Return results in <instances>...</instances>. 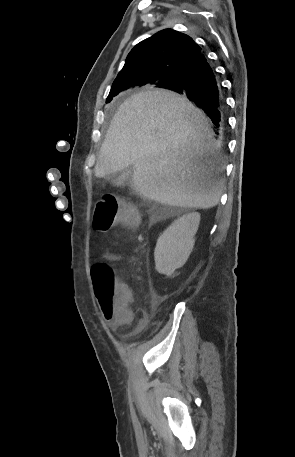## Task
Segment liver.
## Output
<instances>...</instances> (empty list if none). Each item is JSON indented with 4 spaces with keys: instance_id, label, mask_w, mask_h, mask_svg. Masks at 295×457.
Instances as JSON below:
<instances>
[{
    "instance_id": "6515ba94",
    "label": "liver",
    "mask_w": 295,
    "mask_h": 457,
    "mask_svg": "<svg viewBox=\"0 0 295 457\" xmlns=\"http://www.w3.org/2000/svg\"><path fill=\"white\" fill-rule=\"evenodd\" d=\"M213 131L204 112L186 97L156 89L126 99L114 115L95 176L133 166V186L163 205L209 209L222 192Z\"/></svg>"
}]
</instances>
